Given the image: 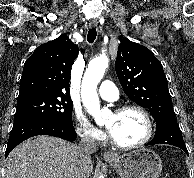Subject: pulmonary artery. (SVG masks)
<instances>
[{"mask_svg": "<svg viewBox=\"0 0 194 178\" xmlns=\"http://www.w3.org/2000/svg\"><path fill=\"white\" fill-rule=\"evenodd\" d=\"M99 95L102 99L114 102L118 99L119 93L115 84L110 80H104L99 88Z\"/></svg>", "mask_w": 194, "mask_h": 178, "instance_id": "obj_1", "label": "pulmonary artery"}]
</instances>
